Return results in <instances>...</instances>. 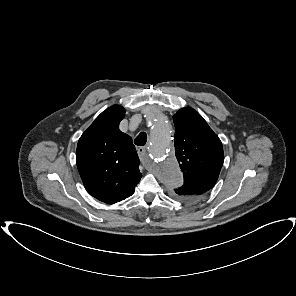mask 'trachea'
Wrapping results in <instances>:
<instances>
[{"instance_id": "3493384b", "label": "trachea", "mask_w": 296, "mask_h": 296, "mask_svg": "<svg viewBox=\"0 0 296 296\" xmlns=\"http://www.w3.org/2000/svg\"><path fill=\"white\" fill-rule=\"evenodd\" d=\"M147 142V134L145 132H141L134 140L135 145L144 146Z\"/></svg>"}]
</instances>
